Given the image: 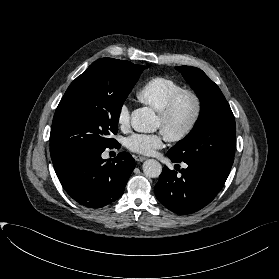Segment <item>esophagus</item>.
<instances>
[{
    "label": "esophagus",
    "mask_w": 279,
    "mask_h": 279,
    "mask_svg": "<svg viewBox=\"0 0 279 279\" xmlns=\"http://www.w3.org/2000/svg\"><path fill=\"white\" fill-rule=\"evenodd\" d=\"M134 158L137 162H142V161L146 160V157L140 156V155H136Z\"/></svg>",
    "instance_id": "1"
}]
</instances>
